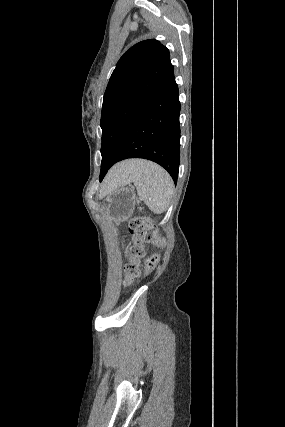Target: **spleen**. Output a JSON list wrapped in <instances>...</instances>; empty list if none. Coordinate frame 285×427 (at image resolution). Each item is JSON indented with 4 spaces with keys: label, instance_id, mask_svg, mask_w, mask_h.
Listing matches in <instances>:
<instances>
[{
    "label": "spleen",
    "instance_id": "spleen-1",
    "mask_svg": "<svg viewBox=\"0 0 285 427\" xmlns=\"http://www.w3.org/2000/svg\"><path fill=\"white\" fill-rule=\"evenodd\" d=\"M125 183H134L138 196L144 200L151 211L161 214L167 210L174 184L170 175L159 165L139 160Z\"/></svg>",
    "mask_w": 285,
    "mask_h": 427
}]
</instances>
